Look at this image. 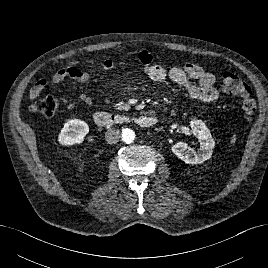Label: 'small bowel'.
<instances>
[{"label":"small bowel","mask_w":268,"mask_h":268,"mask_svg":"<svg viewBox=\"0 0 268 268\" xmlns=\"http://www.w3.org/2000/svg\"><path fill=\"white\" fill-rule=\"evenodd\" d=\"M138 59L143 66L144 75L151 81L162 83L168 77L179 88L186 90L191 98L202 104L211 105L217 101L219 93L214 87V76L200 65L186 63L182 67L176 66L167 70L163 66L155 64L152 56L146 50L138 54ZM98 67L103 72H109L113 70L114 63L110 59H105L98 64ZM89 78L90 74L85 68L69 66L56 71L52 77V82L57 84L72 79L84 83ZM48 84V79H39L29 91L30 98H37ZM80 99L86 105L93 103L92 97L88 94H82Z\"/></svg>","instance_id":"small-bowel-1"}]
</instances>
